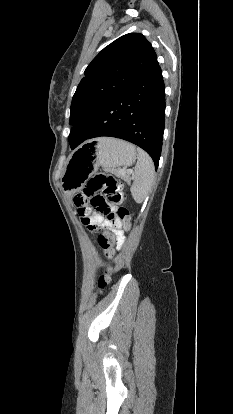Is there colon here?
<instances>
[{
	"label": "colon",
	"instance_id": "5ec220e1",
	"mask_svg": "<svg viewBox=\"0 0 233 414\" xmlns=\"http://www.w3.org/2000/svg\"><path fill=\"white\" fill-rule=\"evenodd\" d=\"M123 198V184L115 177L99 173L94 175L87 183L84 191L75 195L74 204L83 213L88 200L91 205L99 212L107 215L108 219L113 216L118 217L124 226L125 230H129L131 226V215L129 210L124 206H119L116 214L111 212V205H119ZM100 247L103 249L107 257H111L114 253L115 238L113 235L104 231L98 238ZM111 268L103 269L98 277V285L103 288L111 279Z\"/></svg>",
	"mask_w": 233,
	"mask_h": 414
}]
</instances>
